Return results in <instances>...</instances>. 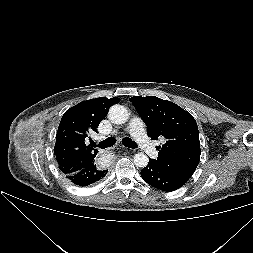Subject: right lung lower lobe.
<instances>
[{
	"label": "right lung lower lobe",
	"mask_w": 253,
	"mask_h": 253,
	"mask_svg": "<svg viewBox=\"0 0 253 253\" xmlns=\"http://www.w3.org/2000/svg\"><path fill=\"white\" fill-rule=\"evenodd\" d=\"M108 170H101L95 163L66 177L75 185L85 187L93 184L106 176Z\"/></svg>",
	"instance_id": "obj_1"
}]
</instances>
